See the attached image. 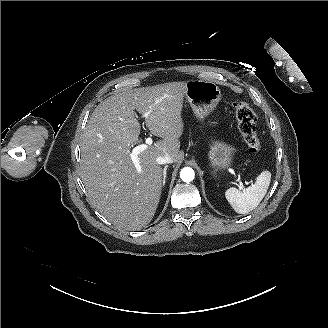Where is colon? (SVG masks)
Returning a JSON list of instances; mask_svg holds the SVG:
<instances>
[{"label":"colon","mask_w":328,"mask_h":328,"mask_svg":"<svg viewBox=\"0 0 328 328\" xmlns=\"http://www.w3.org/2000/svg\"><path fill=\"white\" fill-rule=\"evenodd\" d=\"M238 129L252 153L261 150V143L257 135V116L250 105L243 101H236L234 104Z\"/></svg>","instance_id":"1"}]
</instances>
